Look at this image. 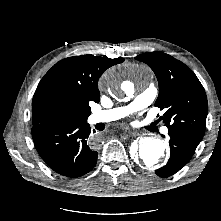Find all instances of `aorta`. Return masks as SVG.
Here are the masks:
<instances>
[{
  "label": "aorta",
  "instance_id": "762f6f07",
  "mask_svg": "<svg viewBox=\"0 0 221 221\" xmlns=\"http://www.w3.org/2000/svg\"><path fill=\"white\" fill-rule=\"evenodd\" d=\"M103 84L110 91L118 89L119 81L113 75L104 78ZM122 90L129 96L134 93V86L131 82L121 84ZM166 156V144L158 138L146 137L138 142L137 150L133 153V158L137 163L147 168H151L160 162H163Z\"/></svg>",
  "mask_w": 221,
  "mask_h": 221
}]
</instances>
